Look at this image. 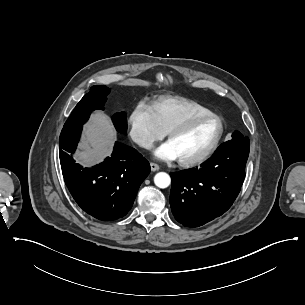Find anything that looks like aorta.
Instances as JSON below:
<instances>
[{
    "mask_svg": "<svg viewBox=\"0 0 305 305\" xmlns=\"http://www.w3.org/2000/svg\"><path fill=\"white\" fill-rule=\"evenodd\" d=\"M154 183L159 188H167L171 183V178L167 173L159 172L154 177Z\"/></svg>",
    "mask_w": 305,
    "mask_h": 305,
    "instance_id": "aorta-1",
    "label": "aorta"
}]
</instances>
